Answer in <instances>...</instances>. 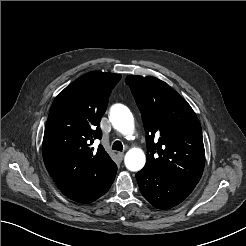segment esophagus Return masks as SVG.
Returning a JSON list of instances; mask_svg holds the SVG:
<instances>
[{
  "label": "esophagus",
  "mask_w": 246,
  "mask_h": 246,
  "mask_svg": "<svg viewBox=\"0 0 246 246\" xmlns=\"http://www.w3.org/2000/svg\"><path fill=\"white\" fill-rule=\"evenodd\" d=\"M117 156H118L119 160H122L123 157H124V153L123 152H118Z\"/></svg>",
  "instance_id": "obj_1"
}]
</instances>
